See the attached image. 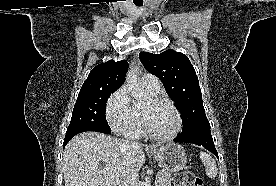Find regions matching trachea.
I'll use <instances>...</instances> for the list:
<instances>
[{
  "mask_svg": "<svg viewBox=\"0 0 276 186\" xmlns=\"http://www.w3.org/2000/svg\"><path fill=\"white\" fill-rule=\"evenodd\" d=\"M134 4L136 5V6H142L143 5V2H134Z\"/></svg>",
  "mask_w": 276,
  "mask_h": 186,
  "instance_id": "trachea-1",
  "label": "trachea"
}]
</instances>
